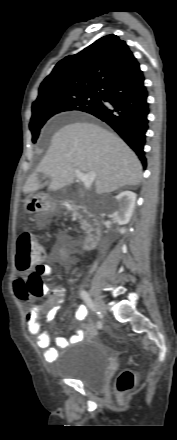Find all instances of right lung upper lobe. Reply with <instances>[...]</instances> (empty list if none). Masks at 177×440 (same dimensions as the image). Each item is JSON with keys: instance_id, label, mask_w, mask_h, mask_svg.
<instances>
[{"instance_id": "obj_1", "label": "right lung upper lobe", "mask_w": 177, "mask_h": 440, "mask_svg": "<svg viewBox=\"0 0 177 440\" xmlns=\"http://www.w3.org/2000/svg\"><path fill=\"white\" fill-rule=\"evenodd\" d=\"M139 69L125 41L104 36L81 52L67 56L41 83L32 108L73 94H105Z\"/></svg>"}]
</instances>
